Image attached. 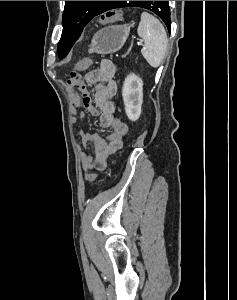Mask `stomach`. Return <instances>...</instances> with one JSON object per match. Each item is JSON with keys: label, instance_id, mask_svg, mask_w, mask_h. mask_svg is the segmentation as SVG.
Listing matches in <instances>:
<instances>
[{"label": "stomach", "instance_id": "obj_1", "mask_svg": "<svg viewBox=\"0 0 237 300\" xmlns=\"http://www.w3.org/2000/svg\"><path fill=\"white\" fill-rule=\"evenodd\" d=\"M130 35L129 25H111L95 33L89 45L88 53L109 55L117 53L125 45Z\"/></svg>", "mask_w": 237, "mask_h": 300}]
</instances>
